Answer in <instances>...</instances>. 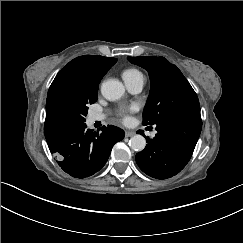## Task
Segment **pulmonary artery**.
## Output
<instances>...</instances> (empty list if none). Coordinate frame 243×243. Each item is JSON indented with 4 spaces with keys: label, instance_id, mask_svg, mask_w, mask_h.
Listing matches in <instances>:
<instances>
[{
    "label": "pulmonary artery",
    "instance_id": "1",
    "mask_svg": "<svg viewBox=\"0 0 243 243\" xmlns=\"http://www.w3.org/2000/svg\"><path fill=\"white\" fill-rule=\"evenodd\" d=\"M143 85H144V82H139L137 84L128 86V89L133 93H138L142 90ZM104 119H105V116L103 114L96 113V114L91 115L92 122L103 121Z\"/></svg>",
    "mask_w": 243,
    "mask_h": 243
}]
</instances>
